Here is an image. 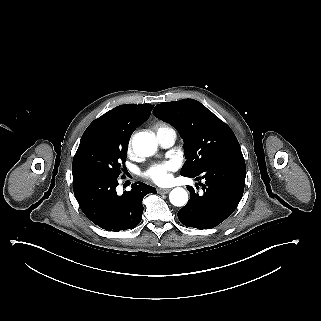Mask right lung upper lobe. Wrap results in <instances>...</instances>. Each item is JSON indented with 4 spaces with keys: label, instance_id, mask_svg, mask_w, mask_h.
Instances as JSON below:
<instances>
[{
    "label": "right lung upper lobe",
    "instance_id": "right-lung-upper-lobe-1",
    "mask_svg": "<svg viewBox=\"0 0 321 321\" xmlns=\"http://www.w3.org/2000/svg\"><path fill=\"white\" fill-rule=\"evenodd\" d=\"M152 108L150 104L120 105L95 121L107 123L113 132L133 133L150 116Z\"/></svg>",
    "mask_w": 321,
    "mask_h": 321
}]
</instances>
